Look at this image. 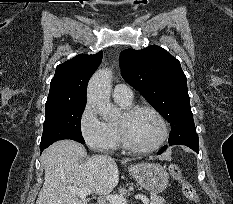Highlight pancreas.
<instances>
[{
  "label": "pancreas",
  "mask_w": 233,
  "mask_h": 204,
  "mask_svg": "<svg viewBox=\"0 0 233 204\" xmlns=\"http://www.w3.org/2000/svg\"><path fill=\"white\" fill-rule=\"evenodd\" d=\"M165 200L162 197L157 196L156 194L151 195L150 204H164Z\"/></svg>",
  "instance_id": "pancreas-1"
}]
</instances>
